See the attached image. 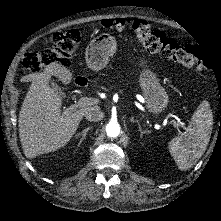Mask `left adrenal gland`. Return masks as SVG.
<instances>
[{
    "instance_id": "1",
    "label": "left adrenal gland",
    "mask_w": 221,
    "mask_h": 221,
    "mask_svg": "<svg viewBox=\"0 0 221 221\" xmlns=\"http://www.w3.org/2000/svg\"><path fill=\"white\" fill-rule=\"evenodd\" d=\"M129 120H130L131 122L137 123L138 131H139L140 133H142V132L145 131L144 128H143V129L141 128V126H140V124H139V121H138V120H135L133 116H130V117H129Z\"/></svg>"
}]
</instances>
